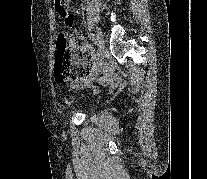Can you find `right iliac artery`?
Listing matches in <instances>:
<instances>
[{"label":"right iliac artery","mask_w":207,"mask_h":179,"mask_svg":"<svg viewBox=\"0 0 207 179\" xmlns=\"http://www.w3.org/2000/svg\"><path fill=\"white\" fill-rule=\"evenodd\" d=\"M89 38H90V40H91L95 45H98V43H97V41H96V39H95V37H94L93 34H90V35H89ZM84 81L87 82V78L84 79Z\"/></svg>","instance_id":"82829eb1"}]
</instances>
